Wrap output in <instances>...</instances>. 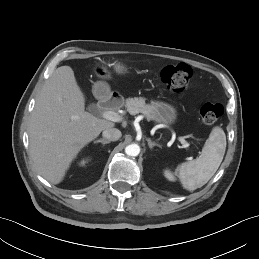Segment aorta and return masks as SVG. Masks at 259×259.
<instances>
[{
    "label": "aorta",
    "instance_id": "1",
    "mask_svg": "<svg viewBox=\"0 0 259 259\" xmlns=\"http://www.w3.org/2000/svg\"><path fill=\"white\" fill-rule=\"evenodd\" d=\"M125 153L128 156H137L140 153V147L137 144H130L126 146Z\"/></svg>",
    "mask_w": 259,
    "mask_h": 259
}]
</instances>
